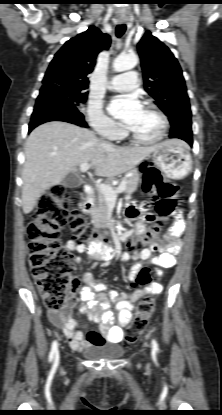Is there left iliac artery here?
Wrapping results in <instances>:
<instances>
[{
	"label": "left iliac artery",
	"mask_w": 222,
	"mask_h": 415,
	"mask_svg": "<svg viewBox=\"0 0 222 415\" xmlns=\"http://www.w3.org/2000/svg\"><path fill=\"white\" fill-rule=\"evenodd\" d=\"M158 350H159V348H158V344H157V342H156V340H152V351H153V353H156V352H158Z\"/></svg>",
	"instance_id": "1"
}]
</instances>
